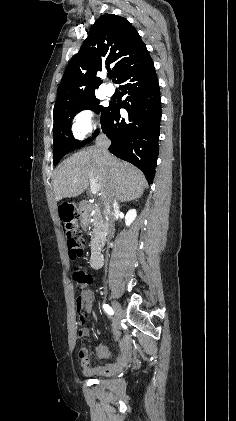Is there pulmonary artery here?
Returning a JSON list of instances; mask_svg holds the SVG:
<instances>
[{"instance_id": "obj_1", "label": "pulmonary artery", "mask_w": 236, "mask_h": 421, "mask_svg": "<svg viewBox=\"0 0 236 421\" xmlns=\"http://www.w3.org/2000/svg\"><path fill=\"white\" fill-rule=\"evenodd\" d=\"M115 90L112 86H105L104 87V94L108 97H111L114 94Z\"/></svg>"}]
</instances>
